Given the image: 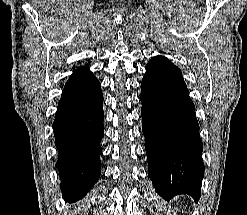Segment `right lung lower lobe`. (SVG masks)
I'll return each mask as SVG.
<instances>
[{
  "label": "right lung lower lobe",
  "instance_id": "right-lung-lower-lobe-1",
  "mask_svg": "<svg viewBox=\"0 0 247 215\" xmlns=\"http://www.w3.org/2000/svg\"><path fill=\"white\" fill-rule=\"evenodd\" d=\"M102 104L99 81L88 67H78L64 86L54 120L60 187L70 203L84 197L100 176Z\"/></svg>",
  "mask_w": 247,
  "mask_h": 215
}]
</instances>
